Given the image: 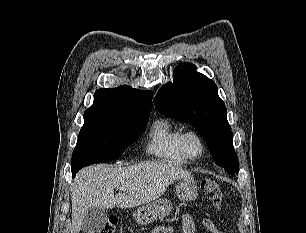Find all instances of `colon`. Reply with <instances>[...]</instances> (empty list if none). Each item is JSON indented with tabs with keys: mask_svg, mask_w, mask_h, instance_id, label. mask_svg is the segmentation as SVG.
Here are the masks:
<instances>
[{
	"mask_svg": "<svg viewBox=\"0 0 306 233\" xmlns=\"http://www.w3.org/2000/svg\"><path fill=\"white\" fill-rule=\"evenodd\" d=\"M201 189L206 198L209 199L215 207L221 205L223 194L216 181L212 179L203 180L201 182ZM117 223L118 220L116 217H110L97 233H115ZM153 233H161V230H154Z\"/></svg>",
	"mask_w": 306,
	"mask_h": 233,
	"instance_id": "5ec220e1",
	"label": "colon"
}]
</instances>
